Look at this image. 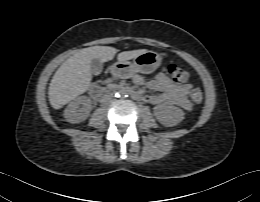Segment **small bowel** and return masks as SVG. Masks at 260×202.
I'll list each match as a JSON object with an SVG mask.
<instances>
[{
  "instance_id": "c3829d8e",
  "label": "small bowel",
  "mask_w": 260,
  "mask_h": 202,
  "mask_svg": "<svg viewBox=\"0 0 260 202\" xmlns=\"http://www.w3.org/2000/svg\"><path fill=\"white\" fill-rule=\"evenodd\" d=\"M132 81L137 85L144 84V79L139 74H132ZM147 87L151 90L159 92V94L146 95L144 100L151 104L170 103L181 107L185 111H190L192 106L187 98L190 85H180L173 82L164 70L156 75V77L147 83Z\"/></svg>"
}]
</instances>
